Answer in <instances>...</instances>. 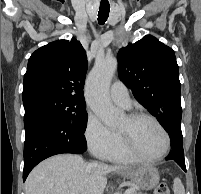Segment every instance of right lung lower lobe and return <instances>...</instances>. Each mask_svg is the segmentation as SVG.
I'll return each instance as SVG.
<instances>
[{
    "mask_svg": "<svg viewBox=\"0 0 201 194\" xmlns=\"http://www.w3.org/2000/svg\"><path fill=\"white\" fill-rule=\"evenodd\" d=\"M23 181L42 160L61 153L81 154L86 151L85 137L70 122L38 107L25 109Z\"/></svg>",
    "mask_w": 201,
    "mask_h": 194,
    "instance_id": "obj_1",
    "label": "right lung lower lobe"
}]
</instances>
